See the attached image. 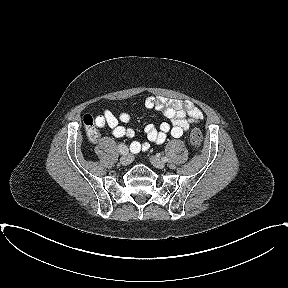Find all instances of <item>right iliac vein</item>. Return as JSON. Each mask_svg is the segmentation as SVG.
Listing matches in <instances>:
<instances>
[{
    "label": "right iliac vein",
    "instance_id": "63e3f726",
    "mask_svg": "<svg viewBox=\"0 0 288 288\" xmlns=\"http://www.w3.org/2000/svg\"><path fill=\"white\" fill-rule=\"evenodd\" d=\"M132 162V156L128 153H125L120 158V164L123 166H127Z\"/></svg>",
    "mask_w": 288,
    "mask_h": 288
}]
</instances>
